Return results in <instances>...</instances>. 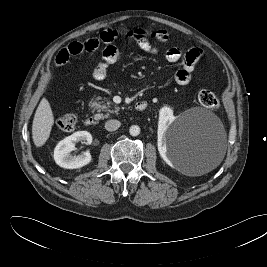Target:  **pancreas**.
Here are the masks:
<instances>
[{"instance_id": "pancreas-1", "label": "pancreas", "mask_w": 267, "mask_h": 267, "mask_svg": "<svg viewBox=\"0 0 267 267\" xmlns=\"http://www.w3.org/2000/svg\"><path fill=\"white\" fill-rule=\"evenodd\" d=\"M98 100H101L100 97H97L95 101L91 103V107H93L94 110H97L98 112H108L106 115L99 114L100 118H107L109 116V113H117L119 111V107L117 105H114V109H110L112 103L110 101H107L105 104H101V102H97Z\"/></svg>"}]
</instances>
